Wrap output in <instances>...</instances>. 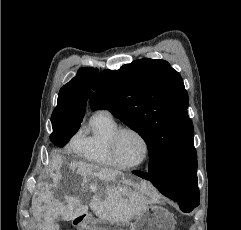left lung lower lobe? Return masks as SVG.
Returning <instances> with one entry per match:
<instances>
[{
  "label": "left lung lower lobe",
  "instance_id": "left-lung-lower-lobe-1",
  "mask_svg": "<svg viewBox=\"0 0 241 230\" xmlns=\"http://www.w3.org/2000/svg\"><path fill=\"white\" fill-rule=\"evenodd\" d=\"M132 173L144 179L150 180L162 194L177 201L183 212H190L199 205L198 183H196L191 193L184 196H174L167 192L165 187L168 181V163L165 159L160 158L159 156L150 158L148 173L140 171H133Z\"/></svg>",
  "mask_w": 241,
  "mask_h": 230
}]
</instances>
